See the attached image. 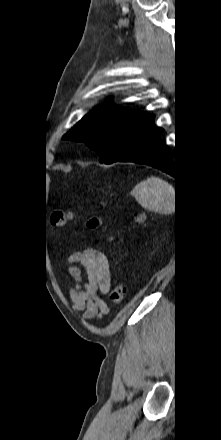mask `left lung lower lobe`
<instances>
[{"mask_svg":"<svg viewBox=\"0 0 221 440\" xmlns=\"http://www.w3.org/2000/svg\"><path fill=\"white\" fill-rule=\"evenodd\" d=\"M163 129L154 124V115H146L135 128L120 162H134L158 168L178 177L177 162L174 164L171 149L161 143Z\"/></svg>","mask_w":221,"mask_h":440,"instance_id":"obj_1","label":"left lung lower lobe"}]
</instances>
